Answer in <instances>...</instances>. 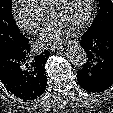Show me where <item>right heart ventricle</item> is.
<instances>
[{
    "instance_id": "1",
    "label": "right heart ventricle",
    "mask_w": 113,
    "mask_h": 113,
    "mask_svg": "<svg viewBox=\"0 0 113 113\" xmlns=\"http://www.w3.org/2000/svg\"><path fill=\"white\" fill-rule=\"evenodd\" d=\"M25 1L28 2L31 6H33L37 11L45 15L47 13L49 4L52 0H25Z\"/></svg>"
}]
</instances>
